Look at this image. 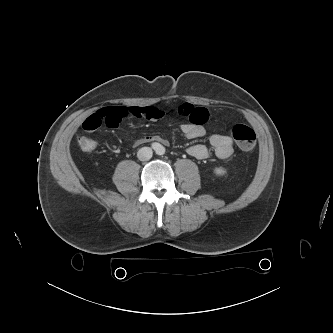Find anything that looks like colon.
Here are the masks:
<instances>
[{"instance_id": "1", "label": "colon", "mask_w": 333, "mask_h": 333, "mask_svg": "<svg viewBox=\"0 0 333 333\" xmlns=\"http://www.w3.org/2000/svg\"><path fill=\"white\" fill-rule=\"evenodd\" d=\"M231 135L240 149L251 151L256 145V134L252 128L244 124H235L232 127ZM80 149L84 152H91L96 147V142L87 136H80L77 140Z\"/></svg>"}]
</instances>
